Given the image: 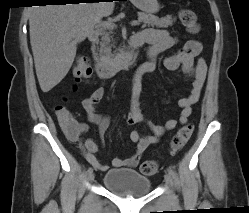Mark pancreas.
Segmentation results:
<instances>
[{"mask_svg": "<svg viewBox=\"0 0 249 213\" xmlns=\"http://www.w3.org/2000/svg\"><path fill=\"white\" fill-rule=\"evenodd\" d=\"M138 17L140 22H142L145 26H156L158 28H167L173 25L175 22V18L172 16H166L162 18H158L155 15L146 14L139 12ZM100 58L104 61H113L115 54L112 53V47H115V42H113V28H103L100 30Z\"/></svg>", "mask_w": 249, "mask_h": 213, "instance_id": "obj_1", "label": "pancreas"}]
</instances>
